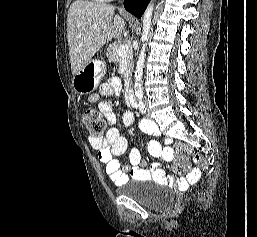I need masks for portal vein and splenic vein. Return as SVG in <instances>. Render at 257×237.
I'll use <instances>...</instances> for the list:
<instances>
[{
	"mask_svg": "<svg viewBox=\"0 0 257 237\" xmlns=\"http://www.w3.org/2000/svg\"><path fill=\"white\" fill-rule=\"evenodd\" d=\"M128 51H129V46H128V44H123V45H121V47L118 49L117 54H118V56H122V55L127 54Z\"/></svg>",
	"mask_w": 257,
	"mask_h": 237,
	"instance_id": "1",
	"label": "portal vein and splenic vein"
}]
</instances>
